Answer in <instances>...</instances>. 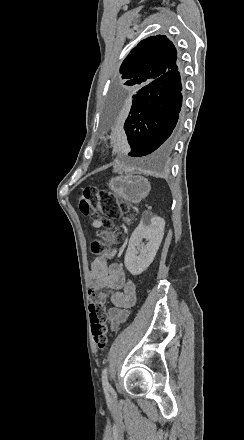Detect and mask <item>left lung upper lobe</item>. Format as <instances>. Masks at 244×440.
I'll return each instance as SVG.
<instances>
[{
	"label": "left lung upper lobe",
	"mask_w": 244,
	"mask_h": 440,
	"mask_svg": "<svg viewBox=\"0 0 244 440\" xmlns=\"http://www.w3.org/2000/svg\"><path fill=\"white\" fill-rule=\"evenodd\" d=\"M177 63V51L166 36L158 35L142 40L125 58L120 77L125 85L149 84L170 71Z\"/></svg>",
	"instance_id": "left-lung-upper-lobe-1"
}]
</instances>
